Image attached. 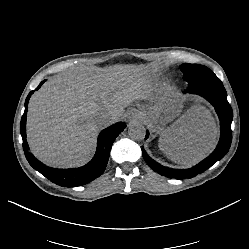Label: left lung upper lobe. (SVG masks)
<instances>
[{"label": "left lung upper lobe", "mask_w": 249, "mask_h": 249, "mask_svg": "<svg viewBox=\"0 0 249 249\" xmlns=\"http://www.w3.org/2000/svg\"><path fill=\"white\" fill-rule=\"evenodd\" d=\"M181 71L188 82V88L205 82H220V79L206 66L199 64H182Z\"/></svg>", "instance_id": "1"}]
</instances>
